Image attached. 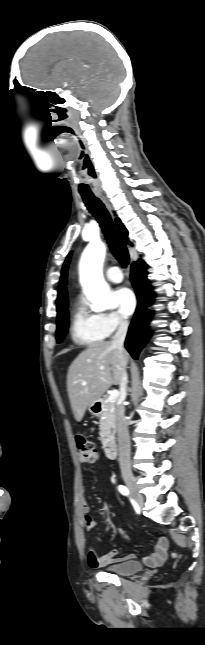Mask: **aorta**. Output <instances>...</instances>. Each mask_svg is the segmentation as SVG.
Returning a JSON list of instances; mask_svg holds the SVG:
<instances>
[{"mask_svg":"<svg viewBox=\"0 0 205 645\" xmlns=\"http://www.w3.org/2000/svg\"><path fill=\"white\" fill-rule=\"evenodd\" d=\"M105 253L106 247L103 243L91 242L85 248L80 261V282L95 311H105L114 305L102 274Z\"/></svg>","mask_w":205,"mask_h":645,"instance_id":"762f6f07","label":"aorta"}]
</instances>
